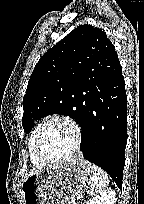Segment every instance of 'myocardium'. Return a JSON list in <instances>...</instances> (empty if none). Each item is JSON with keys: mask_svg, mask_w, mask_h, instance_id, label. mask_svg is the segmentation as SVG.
<instances>
[{"mask_svg": "<svg viewBox=\"0 0 144 204\" xmlns=\"http://www.w3.org/2000/svg\"><path fill=\"white\" fill-rule=\"evenodd\" d=\"M57 122H61V123H65L67 125H69L74 133L75 136V143H74V147L73 150L66 156L62 157V158H49L47 156H45L42 151H41V140L42 137L45 133V131L47 130V128L52 125L53 123H57ZM82 141H83V135H82V129L80 124L72 117L70 116H66V115H56L53 116L51 118H49L48 120H46L43 125L40 127L36 138H35V153L36 156L43 162H45L46 164H59V163H64L67 162L71 159H73L74 157H76L80 150H81V146H82Z\"/></svg>", "mask_w": 144, "mask_h": 204, "instance_id": "1", "label": "myocardium"}]
</instances>
